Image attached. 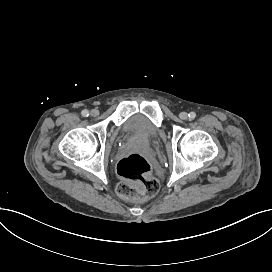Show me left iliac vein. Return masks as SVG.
Returning a JSON list of instances; mask_svg holds the SVG:
<instances>
[{"mask_svg": "<svg viewBox=\"0 0 272 272\" xmlns=\"http://www.w3.org/2000/svg\"><path fill=\"white\" fill-rule=\"evenodd\" d=\"M179 117L182 119V120H186L188 118V114L186 112H181Z\"/></svg>", "mask_w": 272, "mask_h": 272, "instance_id": "4c4485c4", "label": "left iliac vein"}]
</instances>
